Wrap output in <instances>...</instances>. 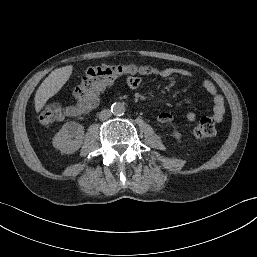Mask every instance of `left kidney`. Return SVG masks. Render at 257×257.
I'll return each instance as SVG.
<instances>
[{
  "label": "left kidney",
  "instance_id": "5707ae66",
  "mask_svg": "<svg viewBox=\"0 0 257 257\" xmlns=\"http://www.w3.org/2000/svg\"><path fill=\"white\" fill-rule=\"evenodd\" d=\"M173 136L177 139H180L181 138V133H179L178 131H174L173 132Z\"/></svg>",
  "mask_w": 257,
  "mask_h": 257
}]
</instances>
